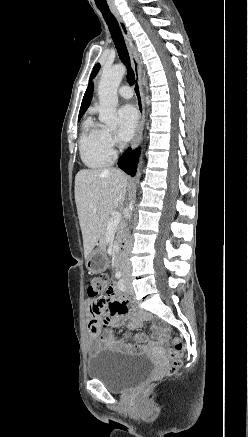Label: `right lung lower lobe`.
<instances>
[{
  "label": "right lung lower lobe",
  "instance_id": "right-lung-lower-lobe-1",
  "mask_svg": "<svg viewBox=\"0 0 248 437\" xmlns=\"http://www.w3.org/2000/svg\"><path fill=\"white\" fill-rule=\"evenodd\" d=\"M140 150L136 149L131 151L129 148L119 159L118 166L125 171L127 174L134 176L137 167V161L139 157Z\"/></svg>",
  "mask_w": 248,
  "mask_h": 437
}]
</instances>
